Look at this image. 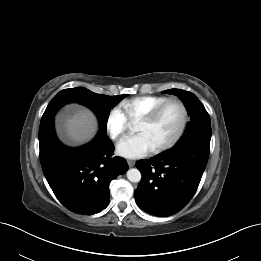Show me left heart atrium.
Segmentation results:
<instances>
[{"label":"left heart atrium","instance_id":"left-heart-atrium-1","mask_svg":"<svg viewBox=\"0 0 261 261\" xmlns=\"http://www.w3.org/2000/svg\"><path fill=\"white\" fill-rule=\"evenodd\" d=\"M116 151L120 156L135 159L152 151V147L142 133L126 135L117 143Z\"/></svg>","mask_w":261,"mask_h":261}]
</instances>
